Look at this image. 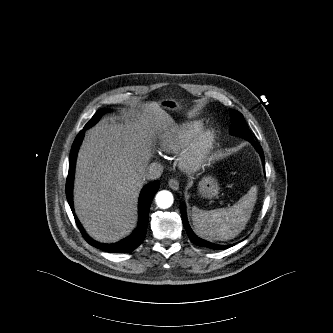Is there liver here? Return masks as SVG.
I'll return each mask as SVG.
<instances>
[{
  "instance_id": "1",
  "label": "liver",
  "mask_w": 333,
  "mask_h": 333,
  "mask_svg": "<svg viewBox=\"0 0 333 333\" xmlns=\"http://www.w3.org/2000/svg\"><path fill=\"white\" fill-rule=\"evenodd\" d=\"M155 128L169 133L175 124L160 104L148 102L124 121H103L86 133L76 165L74 206L95 240L116 242L135 227Z\"/></svg>"
}]
</instances>
